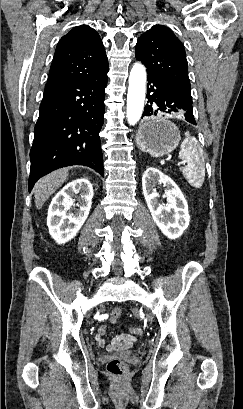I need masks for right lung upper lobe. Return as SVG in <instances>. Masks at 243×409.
<instances>
[{"instance_id": "obj_1", "label": "right lung upper lobe", "mask_w": 243, "mask_h": 409, "mask_svg": "<svg viewBox=\"0 0 243 409\" xmlns=\"http://www.w3.org/2000/svg\"><path fill=\"white\" fill-rule=\"evenodd\" d=\"M108 68L99 34L91 27L81 25L60 39L47 83L83 81L102 74Z\"/></svg>"}]
</instances>
